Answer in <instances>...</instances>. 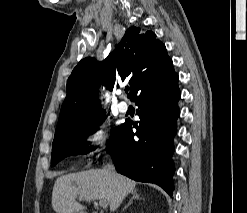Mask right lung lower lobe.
<instances>
[{
    "label": "right lung lower lobe",
    "instance_id": "1",
    "mask_svg": "<svg viewBox=\"0 0 247 213\" xmlns=\"http://www.w3.org/2000/svg\"><path fill=\"white\" fill-rule=\"evenodd\" d=\"M178 75L173 66L135 92L138 124L126 121L108 149L116 170L137 181L155 183L173 194L172 155L179 116ZM132 127L137 129L133 133Z\"/></svg>",
    "mask_w": 247,
    "mask_h": 213
}]
</instances>
